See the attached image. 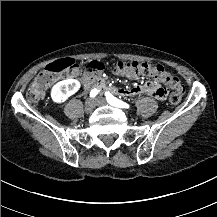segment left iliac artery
Returning a JSON list of instances; mask_svg holds the SVG:
<instances>
[{
  "label": "left iliac artery",
  "mask_w": 217,
  "mask_h": 217,
  "mask_svg": "<svg viewBox=\"0 0 217 217\" xmlns=\"http://www.w3.org/2000/svg\"><path fill=\"white\" fill-rule=\"evenodd\" d=\"M107 102L113 106H117L119 108H129V105L119 99H117L116 97H114L112 94H110V92H106L105 93Z\"/></svg>",
  "instance_id": "obj_1"
}]
</instances>
